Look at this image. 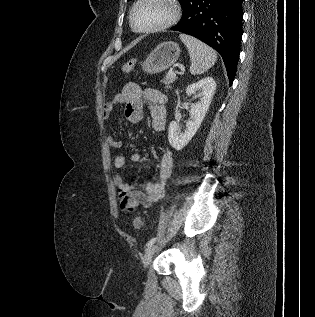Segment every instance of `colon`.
<instances>
[{
	"mask_svg": "<svg viewBox=\"0 0 315 317\" xmlns=\"http://www.w3.org/2000/svg\"><path fill=\"white\" fill-rule=\"evenodd\" d=\"M136 64L135 59H130L123 63L122 65V71L124 73H129L134 69V66ZM133 226L135 229H141L143 227V220L141 217L137 216L133 220Z\"/></svg>",
	"mask_w": 315,
	"mask_h": 317,
	"instance_id": "1",
	"label": "colon"
}]
</instances>
